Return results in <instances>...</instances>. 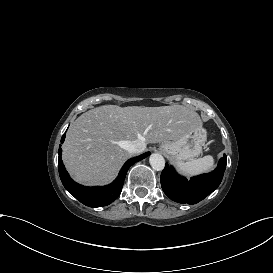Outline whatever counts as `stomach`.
<instances>
[{"label": "stomach", "instance_id": "obj_1", "mask_svg": "<svg viewBox=\"0 0 273 273\" xmlns=\"http://www.w3.org/2000/svg\"><path fill=\"white\" fill-rule=\"evenodd\" d=\"M207 140V132L202 125L175 141H164L160 151L171 159L182 161L197 157Z\"/></svg>", "mask_w": 273, "mask_h": 273}]
</instances>
